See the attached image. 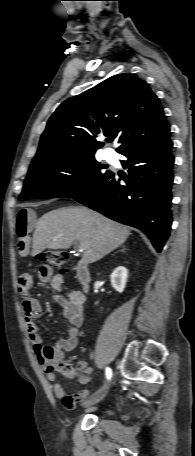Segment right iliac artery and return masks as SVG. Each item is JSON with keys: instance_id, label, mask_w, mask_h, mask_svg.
<instances>
[{"instance_id": "right-iliac-artery-1", "label": "right iliac artery", "mask_w": 195, "mask_h": 456, "mask_svg": "<svg viewBox=\"0 0 195 456\" xmlns=\"http://www.w3.org/2000/svg\"><path fill=\"white\" fill-rule=\"evenodd\" d=\"M106 377L108 380L112 377V370L109 367L106 368Z\"/></svg>"}]
</instances>
